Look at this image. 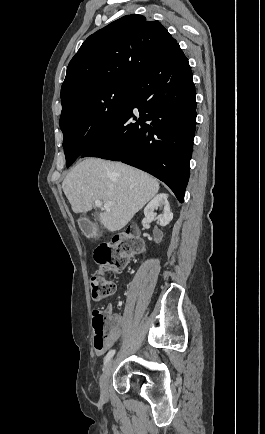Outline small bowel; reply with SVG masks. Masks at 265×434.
<instances>
[{
  "label": "small bowel",
  "instance_id": "small-bowel-1",
  "mask_svg": "<svg viewBox=\"0 0 265 434\" xmlns=\"http://www.w3.org/2000/svg\"><path fill=\"white\" fill-rule=\"evenodd\" d=\"M108 315V329L105 337V342L100 351H95L96 354H102L105 350L112 348L119 340L122 331L126 325L125 316L114 313L111 305H108L105 309Z\"/></svg>",
  "mask_w": 265,
  "mask_h": 434
}]
</instances>
